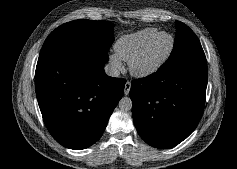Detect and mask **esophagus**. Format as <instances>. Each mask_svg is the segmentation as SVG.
<instances>
[{
	"mask_svg": "<svg viewBox=\"0 0 237 169\" xmlns=\"http://www.w3.org/2000/svg\"><path fill=\"white\" fill-rule=\"evenodd\" d=\"M130 88H131V82L127 81V82L125 83V88H124V94H125V95H128V94H129Z\"/></svg>",
	"mask_w": 237,
	"mask_h": 169,
	"instance_id": "1",
	"label": "esophagus"
}]
</instances>
